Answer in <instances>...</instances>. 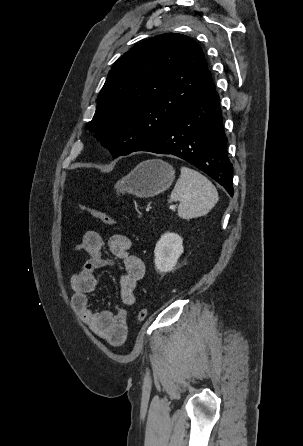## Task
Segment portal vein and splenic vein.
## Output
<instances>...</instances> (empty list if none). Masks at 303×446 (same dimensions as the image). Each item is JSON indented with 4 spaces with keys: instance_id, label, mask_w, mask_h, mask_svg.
<instances>
[{
    "instance_id": "obj_1",
    "label": "portal vein and splenic vein",
    "mask_w": 303,
    "mask_h": 446,
    "mask_svg": "<svg viewBox=\"0 0 303 446\" xmlns=\"http://www.w3.org/2000/svg\"><path fill=\"white\" fill-rule=\"evenodd\" d=\"M175 208H176L175 205H171V206L169 207L170 210H174Z\"/></svg>"
}]
</instances>
